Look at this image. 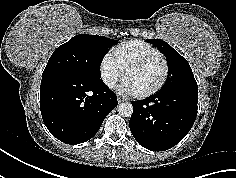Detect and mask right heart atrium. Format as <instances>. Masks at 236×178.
I'll return each instance as SVG.
<instances>
[{
  "label": "right heart atrium",
  "mask_w": 236,
  "mask_h": 178,
  "mask_svg": "<svg viewBox=\"0 0 236 178\" xmlns=\"http://www.w3.org/2000/svg\"><path fill=\"white\" fill-rule=\"evenodd\" d=\"M124 69L111 52H106L99 62V74L103 83L111 88L122 77Z\"/></svg>",
  "instance_id": "1"
}]
</instances>
